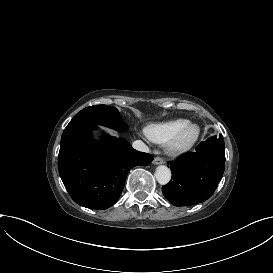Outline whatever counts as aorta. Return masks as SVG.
Listing matches in <instances>:
<instances>
[{"instance_id": "762f6f07", "label": "aorta", "mask_w": 273, "mask_h": 273, "mask_svg": "<svg viewBox=\"0 0 273 273\" xmlns=\"http://www.w3.org/2000/svg\"><path fill=\"white\" fill-rule=\"evenodd\" d=\"M155 177L159 184L166 185L171 180V171L167 166L160 165L156 168Z\"/></svg>"}]
</instances>
